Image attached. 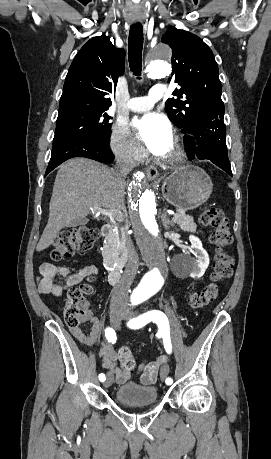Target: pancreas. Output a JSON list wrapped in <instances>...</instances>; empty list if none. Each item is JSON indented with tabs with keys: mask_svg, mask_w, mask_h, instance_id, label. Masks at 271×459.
Returning <instances> with one entry per match:
<instances>
[{
	"mask_svg": "<svg viewBox=\"0 0 271 459\" xmlns=\"http://www.w3.org/2000/svg\"><path fill=\"white\" fill-rule=\"evenodd\" d=\"M180 217H174L173 222L175 224H179L180 228L183 231H196V224H194V220L192 216H186L185 210H177ZM121 220V218H118ZM126 229L120 228L118 233H113V239L108 241L107 245H105L104 249H102V253L104 257H107L109 253H114L116 256H119L122 253V250L119 248L121 245V241H124Z\"/></svg>",
	"mask_w": 271,
	"mask_h": 459,
	"instance_id": "cf45deb5",
	"label": "pancreas"
}]
</instances>
